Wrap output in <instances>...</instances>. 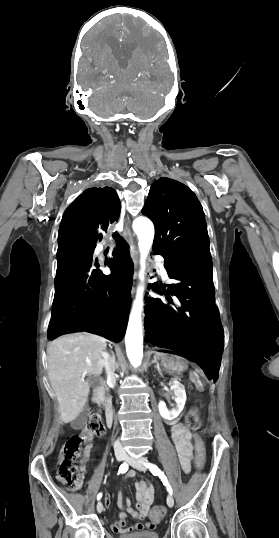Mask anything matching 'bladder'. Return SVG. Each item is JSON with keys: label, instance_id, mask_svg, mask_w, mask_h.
Returning a JSON list of instances; mask_svg holds the SVG:
<instances>
[{"label": "bladder", "instance_id": "31cf9c89", "mask_svg": "<svg viewBox=\"0 0 279 538\" xmlns=\"http://www.w3.org/2000/svg\"><path fill=\"white\" fill-rule=\"evenodd\" d=\"M122 538H160L159 532H123Z\"/></svg>", "mask_w": 279, "mask_h": 538}]
</instances>
